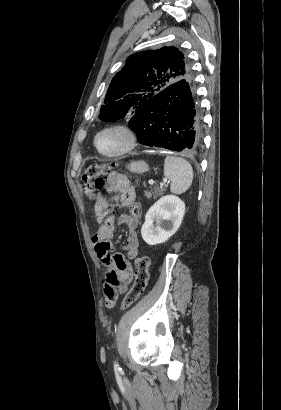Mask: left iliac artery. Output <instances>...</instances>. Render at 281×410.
<instances>
[{"label":"left iliac artery","mask_w":281,"mask_h":410,"mask_svg":"<svg viewBox=\"0 0 281 410\" xmlns=\"http://www.w3.org/2000/svg\"><path fill=\"white\" fill-rule=\"evenodd\" d=\"M114 368H115V369H120V368L118 367V364H116V362H115V364H114Z\"/></svg>","instance_id":"44dca946"}]
</instances>
